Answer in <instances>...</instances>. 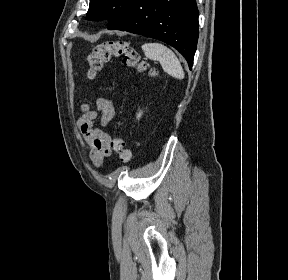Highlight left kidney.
Segmentation results:
<instances>
[{
	"mask_svg": "<svg viewBox=\"0 0 288 280\" xmlns=\"http://www.w3.org/2000/svg\"><path fill=\"white\" fill-rule=\"evenodd\" d=\"M141 117V113H139L138 115H137V118H140Z\"/></svg>",
	"mask_w": 288,
	"mask_h": 280,
	"instance_id": "5707ae66",
	"label": "left kidney"
}]
</instances>
